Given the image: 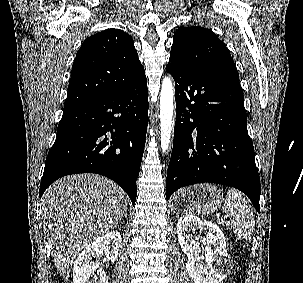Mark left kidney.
Listing matches in <instances>:
<instances>
[{"label": "left kidney", "mask_w": 303, "mask_h": 283, "mask_svg": "<svg viewBox=\"0 0 303 283\" xmlns=\"http://www.w3.org/2000/svg\"><path fill=\"white\" fill-rule=\"evenodd\" d=\"M198 230L206 233L205 256L200 255L198 238L191 234ZM177 236L187 255L186 269L194 283H220L227 277L232 265L219 226L193 216H183L177 223Z\"/></svg>", "instance_id": "5707ae66"}]
</instances>
